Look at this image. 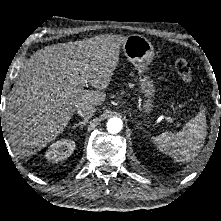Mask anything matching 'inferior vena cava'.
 <instances>
[{
	"mask_svg": "<svg viewBox=\"0 0 221 221\" xmlns=\"http://www.w3.org/2000/svg\"><path fill=\"white\" fill-rule=\"evenodd\" d=\"M96 108L91 104L82 105L77 109V114L84 118L89 119L95 114Z\"/></svg>",
	"mask_w": 221,
	"mask_h": 221,
	"instance_id": "obj_1",
	"label": "inferior vena cava"
}]
</instances>
